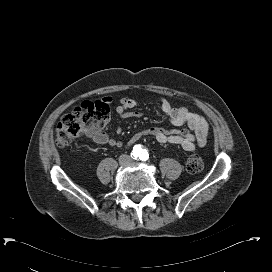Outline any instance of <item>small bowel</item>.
Segmentation results:
<instances>
[{
	"label": "small bowel",
	"mask_w": 272,
	"mask_h": 272,
	"mask_svg": "<svg viewBox=\"0 0 272 272\" xmlns=\"http://www.w3.org/2000/svg\"><path fill=\"white\" fill-rule=\"evenodd\" d=\"M109 102L115 101L113 96H107ZM160 106L163 114L169 119L174 126L187 125L188 129L168 130L163 127H151L136 133L132 136L129 144L137 142L142 136H152L159 143L177 145L184 150L191 152L196 147H202L207 142L209 133V125L206 119L193 112L188 106L174 107L165 97H160ZM138 106V103L130 98H120L119 105L116 112L121 119L129 117L140 118L143 114L140 111H133L131 109ZM117 133H121L118 128ZM88 136L96 143L107 145L114 148H120L123 142L117 138L110 137L108 134L101 131H90Z\"/></svg>",
	"instance_id": "1"
}]
</instances>
